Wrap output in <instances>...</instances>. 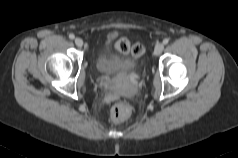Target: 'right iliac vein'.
Returning a JSON list of instances; mask_svg holds the SVG:
<instances>
[{
	"mask_svg": "<svg viewBox=\"0 0 238 158\" xmlns=\"http://www.w3.org/2000/svg\"><path fill=\"white\" fill-rule=\"evenodd\" d=\"M75 44L78 46V47H82L83 46V40L81 38H75Z\"/></svg>",
	"mask_w": 238,
	"mask_h": 158,
	"instance_id": "1",
	"label": "right iliac vein"
}]
</instances>
